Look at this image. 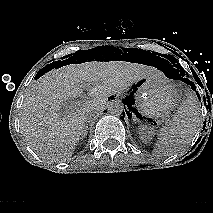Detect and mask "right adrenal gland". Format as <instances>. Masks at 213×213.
Listing matches in <instances>:
<instances>
[{"instance_id": "1", "label": "right adrenal gland", "mask_w": 213, "mask_h": 213, "mask_svg": "<svg viewBox=\"0 0 213 213\" xmlns=\"http://www.w3.org/2000/svg\"><path fill=\"white\" fill-rule=\"evenodd\" d=\"M87 130H88V123H86V125H85V129H84V132L81 136V139H83L85 136H87Z\"/></svg>"}]
</instances>
